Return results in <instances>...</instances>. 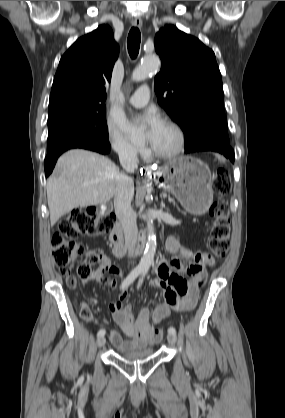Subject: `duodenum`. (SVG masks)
I'll list each match as a JSON object with an SVG mask.
<instances>
[{"label": "duodenum", "instance_id": "410a0bca", "mask_svg": "<svg viewBox=\"0 0 285 418\" xmlns=\"http://www.w3.org/2000/svg\"><path fill=\"white\" fill-rule=\"evenodd\" d=\"M110 243L112 245V252L116 258H123L128 251L124 245L123 232L120 223H117L110 233ZM146 248L144 240L139 241L134 247L132 253L134 256L140 255Z\"/></svg>", "mask_w": 285, "mask_h": 418}]
</instances>
